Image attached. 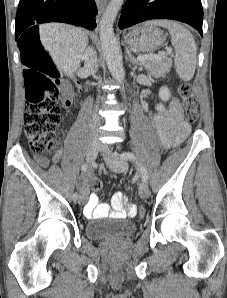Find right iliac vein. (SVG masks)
I'll return each mask as SVG.
<instances>
[{"label":"right iliac vein","instance_id":"63e3f726","mask_svg":"<svg viewBox=\"0 0 227 298\" xmlns=\"http://www.w3.org/2000/svg\"><path fill=\"white\" fill-rule=\"evenodd\" d=\"M100 151V144L98 142H90L87 148L86 158L89 163H92ZM86 201V195H81L79 198V205H83Z\"/></svg>","mask_w":227,"mask_h":298}]
</instances>
